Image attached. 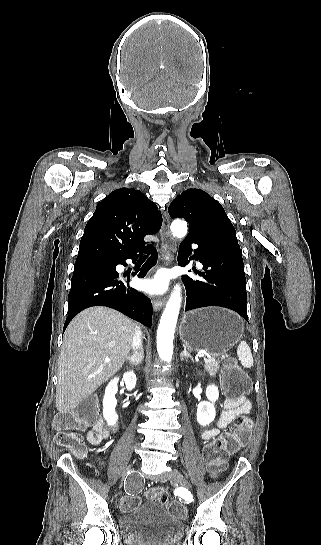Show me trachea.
Segmentation results:
<instances>
[{"label":"trachea","instance_id":"3493384b","mask_svg":"<svg viewBox=\"0 0 321 545\" xmlns=\"http://www.w3.org/2000/svg\"><path fill=\"white\" fill-rule=\"evenodd\" d=\"M140 258H141V259H145V258H147V257H146V256H141Z\"/></svg>","mask_w":321,"mask_h":545}]
</instances>
